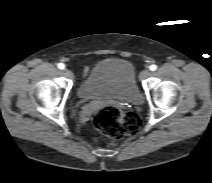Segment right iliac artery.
Segmentation results:
<instances>
[{"mask_svg":"<svg viewBox=\"0 0 212 183\" xmlns=\"http://www.w3.org/2000/svg\"><path fill=\"white\" fill-rule=\"evenodd\" d=\"M58 68H59V69H64V68H65V65H64L63 63H59V64H58Z\"/></svg>","mask_w":212,"mask_h":183,"instance_id":"obj_1","label":"right iliac artery"}]
</instances>
